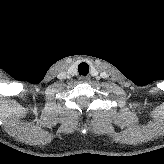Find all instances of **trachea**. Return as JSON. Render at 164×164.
<instances>
[{"label":"trachea","instance_id":"3493384b","mask_svg":"<svg viewBox=\"0 0 164 164\" xmlns=\"http://www.w3.org/2000/svg\"><path fill=\"white\" fill-rule=\"evenodd\" d=\"M78 72L80 75L86 76L89 73V65L85 62H82L78 66Z\"/></svg>","mask_w":164,"mask_h":164}]
</instances>
